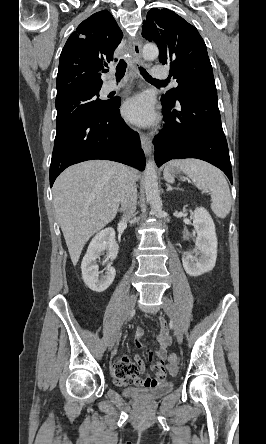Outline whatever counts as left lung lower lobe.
Wrapping results in <instances>:
<instances>
[{
    "mask_svg": "<svg viewBox=\"0 0 266 444\" xmlns=\"http://www.w3.org/2000/svg\"><path fill=\"white\" fill-rule=\"evenodd\" d=\"M178 101L180 111L161 101L165 124L153 140L157 166L171 159L197 158L221 169L232 183L217 96L197 95Z\"/></svg>",
    "mask_w": 266,
    "mask_h": 444,
    "instance_id": "0a47b994",
    "label": "left lung lower lobe"
}]
</instances>
